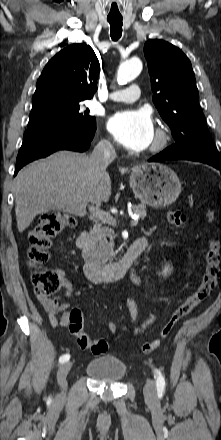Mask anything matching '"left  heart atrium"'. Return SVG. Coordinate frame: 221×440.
<instances>
[{
    "instance_id": "obj_1",
    "label": "left heart atrium",
    "mask_w": 221,
    "mask_h": 440,
    "mask_svg": "<svg viewBox=\"0 0 221 440\" xmlns=\"http://www.w3.org/2000/svg\"><path fill=\"white\" fill-rule=\"evenodd\" d=\"M107 127L123 146L131 150L147 148L154 136L152 119L143 109L118 112L109 118Z\"/></svg>"
}]
</instances>
